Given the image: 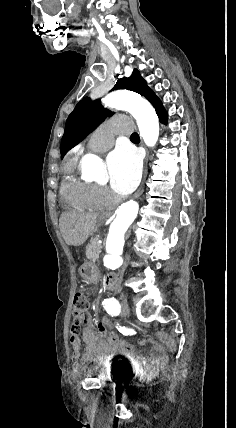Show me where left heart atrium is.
Masks as SVG:
<instances>
[{"mask_svg":"<svg viewBox=\"0 0 236 428\" xmlns=\"http://www.w3.org/2000/svg\"><path fill=\"white\" fill-rule=\"evenodd\" d=\"M109 182L118 194H128L139 184L141 178V160L134 149L118 147L107 159Z\"/></svg>","mask_w":236,"mask_h":428,"instance_id":"left-heart-atrium-1","label":"left heart atrium"}]
</instances>
